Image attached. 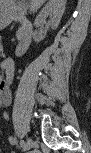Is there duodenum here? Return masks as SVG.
Masks as SVG:
<instances>
[{
    "instance_id": "1",
    "label": "duodenum",
    "mask_w": 91,
    "mask_h": 153,
    "mask_svg": "<svg viewBox=\"0 0 91 153\" xmlns=\"http://www.w3.org/2000/svg\"><path fill=\"white\" fill-rule=\"evenodd\" d=\"M11 18L14 21H17L20 23L19 41L15 50L16 55L20 56L27 51L31 43L32 34H33V26H32V23L26 17L24 7H20L19 9L14 10L11 13Z\"/></svg>"
}]
</instances>
